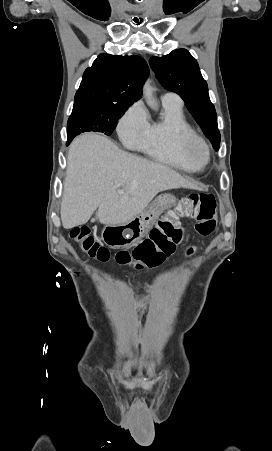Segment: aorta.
Listing matches in <instances>:
<instances>
[{
    "label": "aorta",
    "mask_w": 272,
    "mask_h": 451,
    "mask_svg": "<svg viewBox=\"0 0 272 451\" xmlns=\"http://www.w3.org/2000/svg\"><path fill=\"white\" fill-rule=\"evenodd\" d=\"M143 94L149 108H152V110H157L158 104L156 98H154V88L151 86V80H147V82H145L143 86Z\"/></svg>",
    "instance_id": "1"
}]
</instances>
